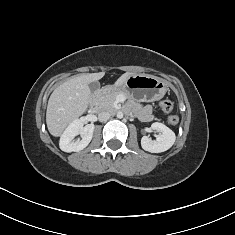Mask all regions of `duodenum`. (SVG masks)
I'll list each match as a JSON object with an SVG mask.
<instances>
[{
  "label": "duodenum",
  "mask_w": 235,
  "mask_h": 235,
  "mask_svg": "<svg viewBox=\"0 0 235 235\" xmlns=\"http://www.w3.org/2000/svg\"><path fill=\"white\" fill-rule=\"evenodd\" d=\"M112 91H113V90L111 89V87L106 86V87L101 88V89L98 91V94H99V95H105V94L111 93ZM90 111H91V112H94V108L91 107V108H90Z\"/></svg>",
  "instance_id": "duodenum-1"
}]
</instances>
